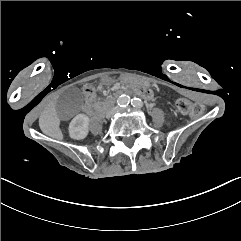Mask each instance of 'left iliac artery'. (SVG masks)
Wrapping results in <instances>:
<instances>
[{"instance_id":"obj_1","label":"left iliac artery","mask_w":241,"mask_h":241,"mask_svg":"<svg viewBox=\"0 0 241 241\" xmlns=\"http://www.w3.org/2000/svg\"><path fill=\"white\" fill-rule=\"evenodd\" d=\"M131 105L135 108H142L143 102L139 98H133L131 100Z\"/></svg>"}]
</instances>
